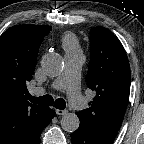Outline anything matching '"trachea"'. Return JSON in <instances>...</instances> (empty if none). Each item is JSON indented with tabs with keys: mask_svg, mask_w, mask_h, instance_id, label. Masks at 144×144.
I'll return each mask as SVG.
<instances>
[{
	"mask_svg": "<svg viewBox=\"0 0 144 144\" xmlns=\"http://www.w3.org/2000/svg\"><path fill=\"white\" fill-rule=\"evenodd\" d=\"M27 99L30 100L32 103H36L39 105H45V106H52L54 104V107L57 109L63 110L66 107V102L63 98H58L54 102V99L51 95H44L41 97H33L29 93L27 94Z\"/></svg>",
	"mask_w": 144,
	"mask_h": 144,
	"instance_id": "3493384b",
	"label": "trachea"
}]
</instances>
